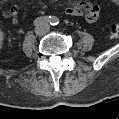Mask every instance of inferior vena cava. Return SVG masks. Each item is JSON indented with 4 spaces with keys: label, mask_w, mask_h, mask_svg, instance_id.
Returning a JSON list of instances; mask_svg holds the SVG:
<instances>
[{
    "label": "inferior vena cava",
    "mask_w": 119,
    "mask_h": 119,
    "mask_svg": "<svg viewBox=\"0 0 119 119\" xmlns=\"http://www.w3.org/2000/svg\"><path fill=\"white\" fill-rule=\"evenodd\" d=\"M50 30V26L48 24L44 25V30L39 32V34H45Z\"/></svg>",
    "instance_id": "1"
}]
</instances>
